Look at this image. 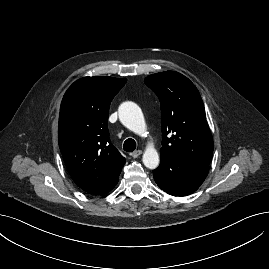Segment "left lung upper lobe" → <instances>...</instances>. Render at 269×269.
<instances>
[{"label":"left lung upper lobe","mask_w":269,"mask_h":269,"mask_svg":"<svg viewBox=\"0 0 269 269\" xmlns=\"http://www.w3.org/2000/svg\"><path fill=\"white\" fill-rule=\"evenodd\" d=\"M161 103L162 148L169 153L210 164L213 138L204 104L195 85L184 75L166 71L145 78Z\"/></svg>","instance_id":"left-lung-upper-lobe-1"}]
</instances>
